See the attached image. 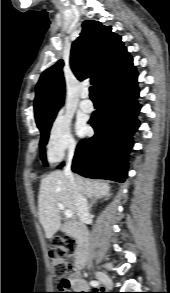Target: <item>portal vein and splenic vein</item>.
Returning <instances> with one entry per match:
<instances>
[{
	"instance_id": "obj_1",
	"label": "portal vein and splenic vein",
	"mask_w": 170,
	"mask_h": 293,
	"mask_svg": "<svg viewBox=\"0 0 170 293\" xmlns=\"http://www.w3.org/2000/svg\"><path fill=\"white\" fill-rule=\"evenodd\" d=\"M57 206L60 210H64V215L66 218H71L73 216V212L71 210H65L63 204L57 203Z\"/></svg>"
}]
</instances>
